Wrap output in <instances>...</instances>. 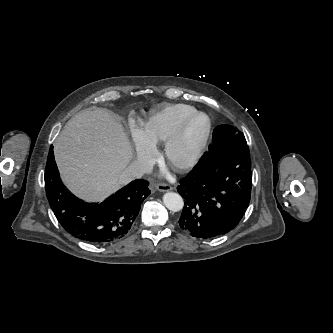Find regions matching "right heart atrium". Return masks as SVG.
I'll return each instance as SVG.
<instances>
[{"label":"right heart atrium","mask_w":333,"mask_h":333,"mask_svg":"<svg viewBox=\"0 0 333 333\" xmlns=\"http://www.w3.org/2000/svg\"><path fill=\"white\" fill-rule=\"evenodd\" d=\"M130 129L138 161L144 165L150 164L155 158L154 147L145 140L142 131L138 126L131 124Z\"/></svg>","instance_id":"d8ad5b80"}]
</instances>
